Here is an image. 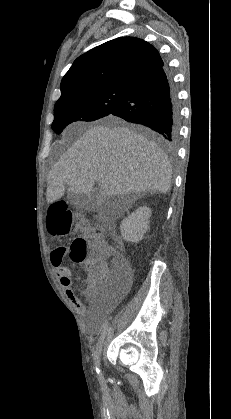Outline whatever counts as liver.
<instances>
[{
	"mask_svg": "<svg viewBox=\"0 0 231 419\" xmlns=\"http://www.w3.org/2000/svg\"><path fill=\"white\" fill-rule=\"evenodd\" d=\"M171 179L167 156L155 142L123 125H98L89 128L52 167L46 200L60 199L65 185L72 193L90 194L95 182L107 196L166 193Z\"/></svg>",
	"mask_w": 231,
	"mask_h": 419,
	"instance_id": "1",
	"label": "liver"
}]
</instances>
